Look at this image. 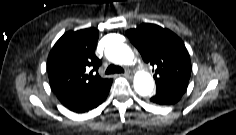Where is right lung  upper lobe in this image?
Instances as JSON below:
<instances>
[{"label": "right lung upper lobe", "instance_id": "right-lung-upper-lobe-1", "mask_svg": "<svg viewBox=\"0 0 236 135\" xmlns=\"http://www.w3.org/2000/svg\"><path fill=\"white\" fill-rule=\"evenodd\" d=\"M98 37L97 29L88 28L66 32L56 42L48 57L49 82L56 95L91 91L108 80L98 75Z\"/></svg>", "mask_w": 236, "mask_h": 135}]
</instances>
